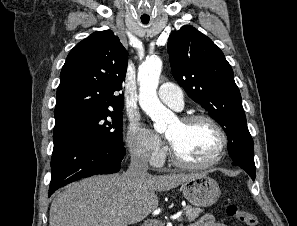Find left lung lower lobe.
Wrapping results in <instances>:
<instances>
[{"instance_id":"obj_1","label":"left lung lower lobe","mask_w":297,"mask_h":226,"mask_svg":"<svg viewBox=\"0 0 297 226\" xmlns=\"http://www.w3.org/2000/svg\"><path fill=\"white\" fill-rule=\"evenodd\" d=\"M233 165L241 167L243 170H245L249 176L252 178V180H255V164L254 162H233Z\"/></svg>"}]
</instances>
